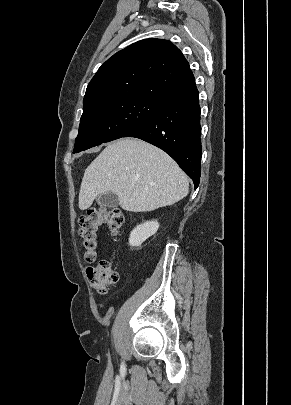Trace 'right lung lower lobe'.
Masks as SVG:
<instances>
[{"instance_id":"1","label":"right lung lower lobe","mask_w":291,"mask_h":405,"mask_svg":"<svg viewBox=\"0 0 291 405\" xmlns=\"http://www.w3.org/2000/svg\"><path fill=\"white\" fill-rule=\"evenodd\" d=\"M198 96L196 84L171 95L148 121L124 136L164 150L193 180L195 189L200 182L202 155Z\"/></svg>"}]
</instances>
